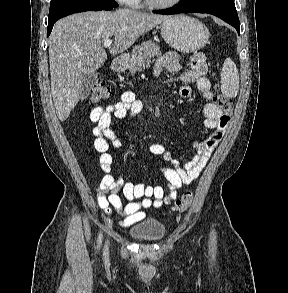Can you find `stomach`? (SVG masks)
Returning a JSON list of instances; mask_svg holds the SVG:
<instances>
[{
    "mask_svg": "<svg viewBox=\"0 0 288 293\" xmlns=\"http://www.w3.org/2000/svg\"><path fill=\"white\" fill-rule=\"evenodd\" d=\"M161 35L166 43L181 52L202 49L209 40V30L200 21L185 15L169 16L162 22ZM128 66V57L123 58L121 69Z\"/></svg>",
    "mask_w": 288,
    "mask_h": 293,
    "instance_id": "obj_1",
    "label": "stomach"
}]
</instances>
